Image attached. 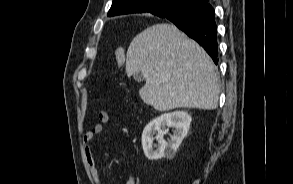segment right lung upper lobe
I'll list each match as a JSON object with an SVG mask.
<instances>
[{
  "label": "right lung upper lobe",
  "mask_w": 293,
  "mask_h": 184,
  "mask_svg": "<svg viewBox=\"0 0 293 184\" xmlns=\"http://www.w3.org/2000/svg\"><path fill=\"white\" fill-rule=\"evenodd\" d=\"M155 1L160 0H113L112 6L108 12V16H116L130 13L149 12L160 16L173 8L178 7L184 2L195 1L201 4H208L209 0H165L168 4L165 8L157 9L154 5Z\"/></svg>",
  "instance_id": "cb5924a9"
}]
</instances>
